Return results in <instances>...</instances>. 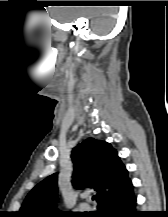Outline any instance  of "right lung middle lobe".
Listing matches in <instances>:
<instances>
[{"label":"right lung middle lobe","instance_id":"1","mask_svg":"<svg viewBox=\"0 0 168 217\" xmlns=\"http://www.w3.org/2000/svg\"><path fill=\"white\" fill-rule=\"evenodd\" d=\"M58 216H69L68 214L58 215Z\"/></svg>","mask_w":168,"mask_h":217}]
</instances>
